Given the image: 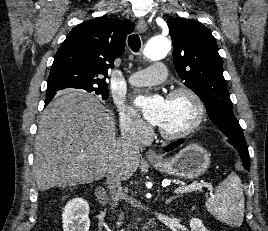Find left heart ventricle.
Returning <instances> with one entry per match:
<instances>
[{
  "instance_id": "left-heart-ventricle-1",
  "label": "left heart ventricle",
  "mask_w": 268,
  "mask_h": 231,
  "mask_svg": "<svg viewBox=\"0 0 268 231\" xmlns=\"http://www.w3.org/2000/svg\"><path fill=\"white\" fill-rule=\"evenodd\" d=\"M195 106L186 96L166 99L159 127L166 132H178L194 119Z\"/></svg>"
}]
</instances>
